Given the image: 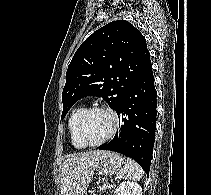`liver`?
Wrapping results in <instances>:
<instances>
[{
	"instance_id": "1",
	"label": "liver",
	"mask_w": 211,
	"mask_h": 195,
	"mask_svg": "<svg viewBox=\"0 0 211 195\" xmlns=\"http://www.w3.org/2000/svg\"><path fill=\"white\" fill-rule=\"evenodd\" d=\"M102 151L71 156L63 162L60 171L61 195H84L93 177V167Z\"/></svg>"
}]
</instances>
